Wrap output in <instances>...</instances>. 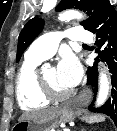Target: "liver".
Here are the masks:
<instances>
[{"mask_svg":"<svg viewBox=\"0 0 117 131\" xmlns=\"http://www.w3.org/2000/svg\"><path fill=\"white\" fill-rule=\"evenodd\" d=\"M57 110H58V108H48V109H43V110L26 112L20 116L19 121L28 120V119L44 118V117H47V116L53 114Z\"/></svg>","mask_w":117,"mask_h":131,"instance_id":"6515ba94","label":"liver"}]
</instances>
